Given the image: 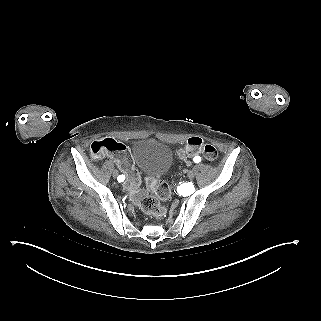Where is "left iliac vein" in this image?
Instances as JSON below:
<instances>
[{"label": "left iliac vein", "instance_id": "left-iliac-vein-1", "mask_svg": "<svg viewBox=\"0 0 321 321\" xmlns=\"http://www.w3.org/2000/svg\"><path fill=\"white\" fill-rule=\"evenodd\" d=\"M187 176L190 180H192L195 177V171L194 170L188 171Z\"/></svg>", "mask_w": 321, "mask_h": 321}]
</instances>
